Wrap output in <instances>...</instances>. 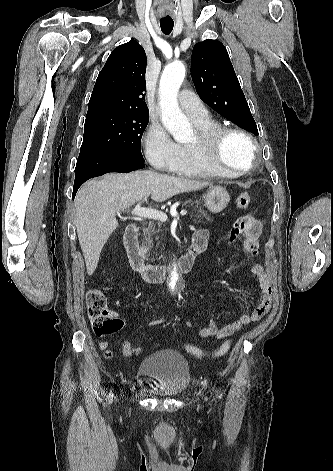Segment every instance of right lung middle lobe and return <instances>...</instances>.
<instances>
[{
	"label": "right lung middle lobe",
	"instance_id": "dd1d6c3e",
	"mask_svg": "<svg viewBox=\"0 0 333 471\" xmlns=\"http://www.w3.org/2000/svg\"><path fill=\"white\" fill-rule=\"evenodd\" d=\"M149 114L108 112L86 117L80 153L113 152L144 161L140 143Z\"/></svg>",
	"mask_w": 333,
	"mask_h": 471
}]
</instances>
